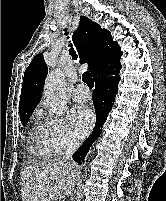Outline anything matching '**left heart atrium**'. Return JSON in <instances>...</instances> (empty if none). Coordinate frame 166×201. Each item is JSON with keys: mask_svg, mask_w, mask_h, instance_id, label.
I'll return each instance as SVG.
<instances>
[{"mask_svg": "<svg viewBox=\"0 0 166 201\" xmlns=\"http://www.w3.org/2000/svg\"><path fill=\"white\" fill-rule=\"evenodd\" d=\"M69 120L76 138L85 137L95 122L91 109L83 105L76 106L70 111Z\"/></svg>", "mask_w": 166, "mask_h": 201, "instance_id": "left-heart-atrium-1", "label": "left heart atrium"}]
</instances>
